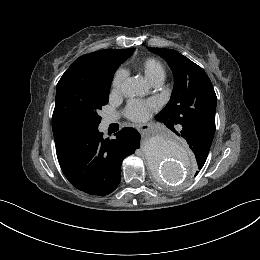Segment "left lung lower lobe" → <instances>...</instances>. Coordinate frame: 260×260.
I'll list each match as a JSON object with an SVG mask.
<instances>
[{
  "mask_svg": "<svg viewBox=\"0 0 260 260\" xmlns=\"http://www.w3.org/2000/svg\"><path fill=\"white\" fill-rule=\"evenodd\" d=\"M164 123L166 124L165 121ZM177 135L183 137L186 140L189 147L194 152L198 163L206 161L210 150V146L212 144V140H213L212 137L206 135L202 131L190 125L182 126L181 132L177 133Z\"/></svg>",
  "mask_w": 260,
  "mask_h": 260,
  "instance_id": "1",
  "label": "left lung lower lobe"
}]
</instances>
